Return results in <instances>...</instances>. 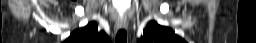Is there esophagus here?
<instances>
[{
	"label": "esophagus",
	"instance_id": "obj_1",
	"mask_svg": "<svg viewBox=\"0 0 256 43\" xmlns=\"http://www.w3.org/2000/svg\"><path fill=\"white\" fill-rule=\"evenodd\" d=\"M117 27L127 29L128 27V21L126 15L122 16L120 20L117 22Z\"/></svg>",
	"mask_w": 256,
	"mask_h": 43
}]
</instances>
